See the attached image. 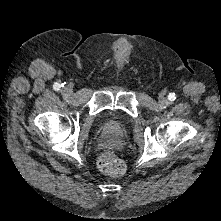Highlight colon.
<instances>
[{"label": "colon", "instance_id": "1", "mask_svg": "<svg viewBox=\"0 0 221 221\" xmlns=\"http://www.w3.org/2000/svg\"><path fill=\"white\" fill-rule=\"evenodd\" d=\"M98 168L103 173L119 176L125 171V164L112 152L103 153L97 162Z\"/></svg>", "mask_w": 221, "mask_h": 221}]
</instances>
